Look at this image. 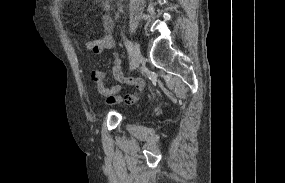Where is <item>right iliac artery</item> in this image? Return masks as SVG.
Listing matches in <instances>:
<instances>
[{
  "mask_svg": "<svg viewBox=\"0 0 285 183\" xmlns=\"http://www.w3.org/2000/svg\"><path fill=\"white\" fill-rule=\"evenodd\" d=\"M125 47H126V49L128 51L129 56H132V54H133V44H132V42L127 40L125 42Z\"/></svg>",
  "mask_w": 285,
  "mask_h": 183,
  "instance_id": "82829eb1",
  "label": "right iliac artery"
}]
</instances>
